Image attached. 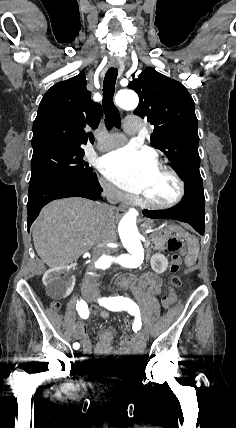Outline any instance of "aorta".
I'll return each mask as SVG.
<instances>
[{
    "label": "aorta",
    "instance_id": "obj_1",
    "mask_svg": "<svg viewBox=\"0 0 236 428\" xmlns=\"http://www.w3.org/2000/svg\"><path fill=\"white\" fill-rule=\"evenodd\" d=\"M115 101L123 109H135L139 103L138 95L132 90H121L116 94ZM138 211L130 209L121 219L118 226V232L127 253L119 256H102L94 265L90 266L84 278V284L96 274V269L106 270L113 263H117L125 268H137L141 266L144 260L145 248L141 243L140 235L136 222Z\"/></svg>",
    "mask_w": 236,
    "mask_h": 428
}]
</instances>
